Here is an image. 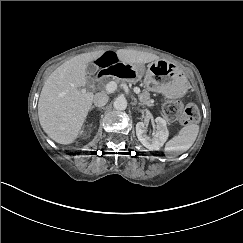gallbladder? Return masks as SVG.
<instances>
[{"label": "gallbladder", "mask_w": 243, "mask_h": 243, "mask_svg": "<svg viewBox=\"0 0 243 243\" xmlns=\"http://www.w3.org/2000/svg\"><path fill=\"white\" fill-rule=\"evenodd\" d=\"M98 70H99V67L96 64L91 63V64H88V66L86 68V73L89 76H92V75H95Z\"/></svg>", "instance_id": "obj_1"}]
</instances>
